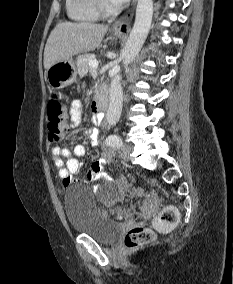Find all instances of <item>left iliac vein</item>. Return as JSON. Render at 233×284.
Here are the masks:
<instances>
[{"mask_svg": "<svg viewBox=\"0 0 233 284\" xmlns=\"http://www.w3.org/2000/svg\"><path fill=\"white\" fill-rule=\"evenodd\" d=\"M119 151L122 159H124L125 161L130 160L131 147L129 145L122 146Z\"/></svg>", "mask_w": 233, "mask_h": 284, "instance_id": "left-iliac-vein-1", "label": "left iliac vein"}]
</instances>
